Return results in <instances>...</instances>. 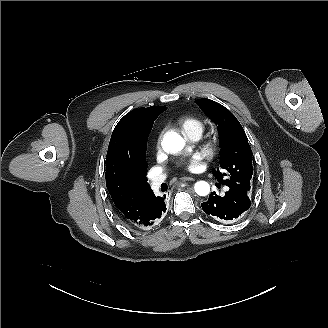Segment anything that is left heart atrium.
Segmentation results:
<instances>
[{
  "instance_id": "39dd6f15",
  "label": "left heart atrium",
  "mask_w": 328,
  "mask_h": 328,
  "mask_svg": "<svg viewBox=\"0 0 328 328\" xmlns=\"http://www.w3.org/2000/svg\"><path fill=\"white\" fill-rule=\"evenodd\" d=\"M186 170L190 172H197L201 169V163L200 160L196 157L190 158V160L187 162L185 166Z\"/></svg>"
}]
</instances>
